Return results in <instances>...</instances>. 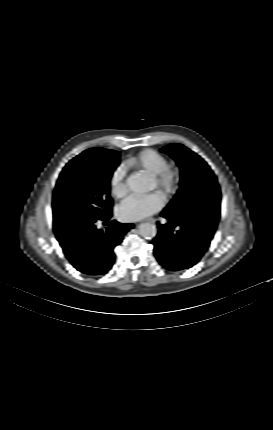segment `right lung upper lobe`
<instances>
[{
	"mask_svg": "<svg viewBox=\"0 0 273 430\" xmlns=\"http://www.w3.org/2000/svg\"><path fill=\"white\" fill-rule=\"evenodd\" d=\"M86 151L91 152V153H100V154H104V155H112V154L118 153L117 151L104 149V148H92V149H89Z\"/></svg>",
	"mask_w": 273,
	"mask_h": 430,
	"instance_id": "obj_1",
	"label": "right lung upper lobe"
}]
</instances>
